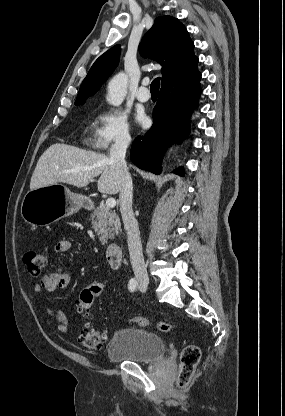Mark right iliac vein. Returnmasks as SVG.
I'll return each instance as SVG.
<instances>
[{
    "label": "right iliac vein",
    "mask_w": 285,
    "mask_h": 416,
    "mask_svg": "<svg viewBox=\"0 0 285 416\" xmlns=\"http://www.w3.org/2000/svg\"><path fill=\"white\" fill-rule=\"evenodd\" d=\"M139 284L143 287H147L148 286V281L146 279H140Z\"/></svg>",
    "instance_id": "1"
}]
</instances>
